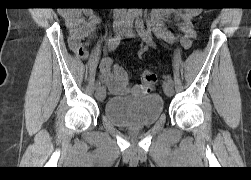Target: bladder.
Instances as JSON below:
<instances>
[{"mask_svg": "<svg viewBox=\"0 0 251 180\" xmlns=\"http://www.w3.org/2000/svg\"><path fill=\"white\" fill-rule=\"evenodd\" d=\"M164 101L158 94L140 97H110L104 106L105 117L120 127H147L162 115Z\"/></svg>", "mask_w": 251, "mask_h": 180, "instance_id": "1", "label": "bladder"}]
</instances>
